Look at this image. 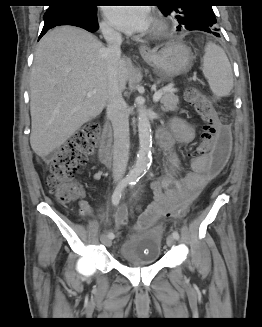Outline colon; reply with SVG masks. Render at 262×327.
<instances>
[{"instance_id":"obj_1","label":"colon","mask_w":262,"mask_h":327,"mask_svg":"<svg viewBox=\"0 0 262 327\" xmlns=\"http://www.w3.org/2000/svg\"><path fill=\"white\" fill-rule=\"evenodd\" d=\"M186 99L201 117L204 124L200 141L193 150V156L205 155L208 160V171L211 176L219 174L225 167L230 150L231 136L228 128L218 121L217 113L207 97L198 89L186 91ZM100 135V127L90 122L78 130L57 152L49 166L48 186L56 199L69 203L80 195L79 186L73 181L75 173L83 165L94 141ZM189 203H182L171 208L165 216H181ZM127 222V210L120 207L116 214V223L123 226Z\"/></svg>"}]
</instances>
